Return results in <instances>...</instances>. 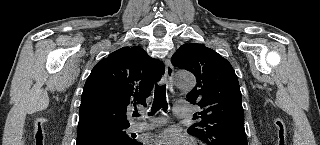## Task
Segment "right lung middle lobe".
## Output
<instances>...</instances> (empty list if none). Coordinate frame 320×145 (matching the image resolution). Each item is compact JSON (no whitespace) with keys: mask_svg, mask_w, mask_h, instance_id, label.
Instances as JSON below:
<instances>
[{"mask_svg":"<svg viewBox=\"0 0 320 145\" xmlns=\"http://www.w3.org/2000/svg\"><path fill=\"white\" fill-rule=\"evenodd\" d=\"M126 128L127 127L102 128V129L95 131L94 133H99V134H103L106 136H110L118 141L132 145L135 140L126 134V132H125Z\"/></svg>","mask_w":320,"mask_h":145,"instance_id":"right-lung-middle-lobe-1","label":"right lung middle lobe"}]
</instances>
